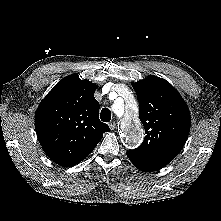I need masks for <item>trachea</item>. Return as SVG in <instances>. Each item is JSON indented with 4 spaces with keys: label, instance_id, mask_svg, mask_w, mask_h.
I'll list each match as a JSON object with an SVG mask.
<instances>
[{
    "label": "trachea",
    "instance_id": "obj_1",
    "mask_svg": "<svg viewBox=\"0 0 221 221\" xmlns=\"http://www.w3.org/2000/svg\"><path fill=\"white\" fill-rule=\"evenodd\" d=\"M100 118L103 122H110L111 111L108 108H103L100 113Z\"/></svg>",
    "mask_w": 221,
    "mask_h": 221
}]
</instances>
